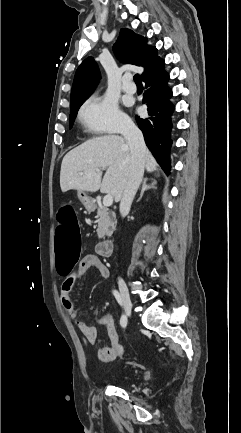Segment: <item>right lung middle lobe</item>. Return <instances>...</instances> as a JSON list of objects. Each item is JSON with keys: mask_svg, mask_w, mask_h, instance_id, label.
<instances>
[{"mask_svg": "<svg viewBox=\"0 0 241 433\" xmlns=\"http://www.w3.org/2000/svg\"><path fill=\"white\" fill-rule=\"evenodd\" d=\"M85 100L79 101L74 107L70 109V116H69V126L70 128L73 126L74 119L77 115L79 107L83 104Z\"/></svg>", "mask_w": 241, "mask_h": 433, "instance_id": "obj_1", "label": "right lung middle lobe"}]
</instances>
